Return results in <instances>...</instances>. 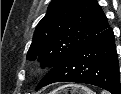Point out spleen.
<instances>
[{"mask_svg":"<svg viewBox=\"0 0 121 94\" xmlns=\"http://www.w3.org/2000/svg\"><path fill=\"white\" fill-rule=\"evenodd\" d=\"M102 94H106V92H105V91H103V92H102Z\"/></svg>","mask_w":121,"mask_h":94,"instance_id":"1","label":"spleen"}]
</instances>
